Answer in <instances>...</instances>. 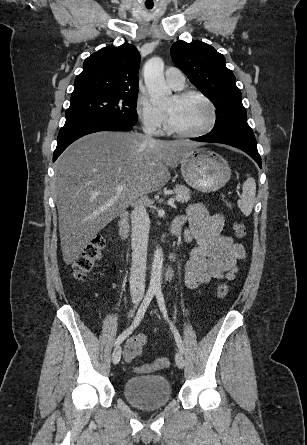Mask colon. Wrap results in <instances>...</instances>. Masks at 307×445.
Segmentation results:
<instances>
[{
	"label": "colon",
	"mask_w": 307,
	"mask_h": 445,
	"mask_svg": "<svg viewBox=\"0 0 307 445\" xmlns=\"http://www.w3.org/2000/svg\"><path fill=\"white\" fill-rule=\"evenodd\" d=\"M228 205L231 206L230 203H228ZM233 231L238 238H242L246 235V227L241 222L234 223ZM106 242L107 238L105 235L97 236L85 247L81 255L76 258L73 263V272L77 279L85 278L86 275L94 269L106 246ZM227 293L228 285L225 283L220 284L217 288V296L220 299H223L226 297ZM169 366L170 360L168 358H159L150 364L135 367L134 371L137 373H145L166 369Z\"/></svg>",
	"instance_id": "1"
}]
</instances>
